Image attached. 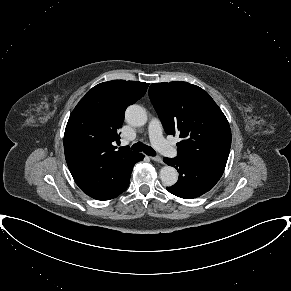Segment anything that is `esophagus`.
Here are the masks:
<instances>
[{
	"mask_svg": "<svg viewBox=\"0 0 291 291\" xmlns=\"http://www.w3.org/2000/svg\"><path fill=\"white\" fill-rule=\"evenodd\" d=\"M151 159L155 162H158V163H163V159L159 156H154V157H151Z\"/></svg>",
	"mask_w": 291,
	"mask_h": 291,
	"instance_id": "obj_1",
	"label": "esophagus"
}]
</instances>
